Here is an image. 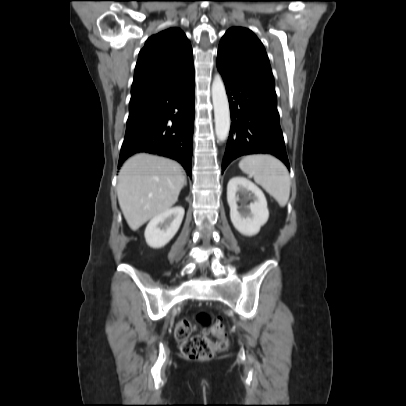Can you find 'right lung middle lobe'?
I'll return each instance as SVG.
<instances>
[{
  "label": "right lung middle lobe",
  "mask_w": 406,
  "mask_h": 406,
  "mask_svg": "<svg viewBox=\"0 0 406 406\" xmlns=\"http://www.w3.org/2000/svg\"><path fill=\"white\" fill-rule=\"evenodd\" d=\"M138 116H139L138 112L134 109V107L130 106L127 124L136 120L138 118Z\"/></svg>",
  "instance_id": "right-lung-middle-lobe-1"
}]
</instances>
